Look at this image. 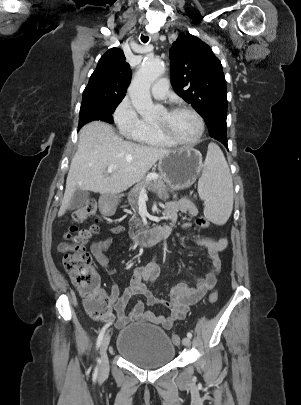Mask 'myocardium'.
I'll return each instance as SVG.
<instances>
[{"label": "myocardium", "instance_id": "f54148a6", "mask_svg": "<svg viewBox=\"0 0 301 405\" xmlns=\"http://www.w3.org/2000/svg\"><path fill=\"white\" fill-rule=\"evenodd\" d=\"M166 111L168 113H174L177 111L190 112L197 119L199 128H198V133L193 140L183 141V140H180V139L176 138L175 136H173L165 128V126L158 124V123H154L153 125H154L155 130L162 138H164L166 141H168L169 143H171L173 145H179V146H194L201 140V138L203 137V134H204L205 124H204L203 117L200 115V113L197 110H195L193 107H190L187 105H177L172 108L166 109Z\"/></svg>", "mask_w": 301, "mask_h": 405}]
</instances>
